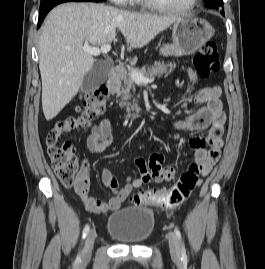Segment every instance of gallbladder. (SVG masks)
I'll return each mask as SVG.
<instances>
[{
	"instance_id": "gallbladder-1",
	"label": "gallbladder",
	"mask_w": 265,
	"mask_h": 269,
	"mask_svg": "<svg viewBox=\"0 0 265 269\" xmlns=\"http://www.w3.org/2000/svg\"><path fill=\"white\" fill-rule=\"evenodd\" d=\"M110 67L102 61H98L93 68L84 77L81 91L90 93L96 90L102 83L105 82Z\"/></svg>"
}]
</instances>
